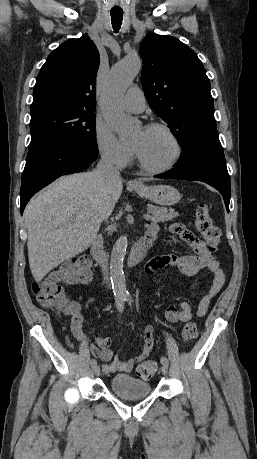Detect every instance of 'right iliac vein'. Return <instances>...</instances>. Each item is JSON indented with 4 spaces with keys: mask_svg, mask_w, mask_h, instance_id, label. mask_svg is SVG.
Returning a JSON list of instances; mask_svg holds the SVG:
<instances>
[{
    "mask_svg": "<svg viewBox=\"0 0 257 459\" xmlns=\"http://www.w3.org/2000/svg\"><path fill=\"white\" fill-rule=\"evenodd\" d=\"M93 368V373L95 376H99L100 374V367L98 365H95Z\"/></svg>",
    "mask_w": 257,
    "mask_h": 459,
    "instance_id": "63e3f726",
    "label": "right iliac vein"
}]
</instances>
